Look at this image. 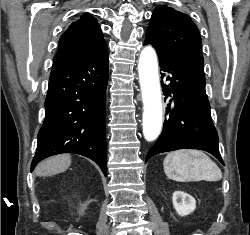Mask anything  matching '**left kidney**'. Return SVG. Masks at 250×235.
Segmentation results:
<instances>
[{"label": "left kidney", "mask_w": 250, "mask_h": 235, "mask_svg": "<svg viewBox=\"0 0 250 235\" xmlns=\"http://www.w3.org/2000/svg\"><path fill=\"white\" fill-rule=\"evenodd\" d=\"M173 206L180 216L192 213L196 208V200L182 191H175L172 197Z\"/></svg>", "instance_id": "obj_1"}]
</instances>
